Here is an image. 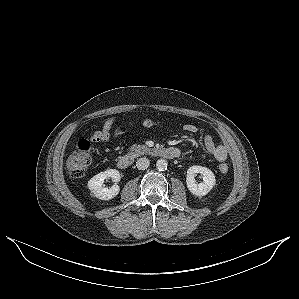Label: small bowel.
Returning <instances> with one entry per match:
<instances>
[{"label":"small bowel","mask_w":299,"mask_h":299,"mask_svg":"<svg viewBox=\"0 0 299 299\" xmlns=\"http://www.w3.org/2000/svg\"><path fill=\"white\" fill-rule=\"evenodd\" d=\"M114 124V119L106 120L100 130L93 131L90 134V140L93 143L108 141L110 138L121 134L124 128H119L115 132H111ZM183 129L188 133H196L197 127L193 124L184 125ZM204 146L207 152L217 161L223 162L227 159V148L222 144H216L210 135L204 137Z\"/></svg>","instance_id":"c3829d8e"}]
</instances>
